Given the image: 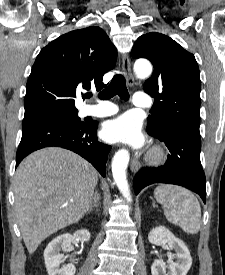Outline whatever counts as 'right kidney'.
Returning <instances> with one entry per match:
<instances>
[{
    "mask_svg": "<svg viewBox=\"0 0 225 275\" xmlns=\"http://www.w3.org/2000/svg\"><path fill=\"white\" fill-rule=\"evenodd\" d=\"M90 236L88 230H78L73 235L66 233L54 238L44 251L48 275H74L76 268L72 262L60 266L64 258L60 251L69 248L73 241L87 242Z\"/></svg>",
    "mask_w": 225,
    "mask_h": 275,
    "instance_id": "obj_1",
    "label": "right kidney"
}]
</instances>
